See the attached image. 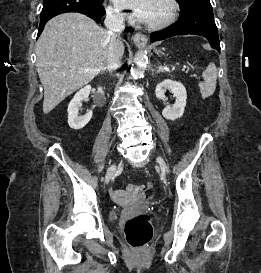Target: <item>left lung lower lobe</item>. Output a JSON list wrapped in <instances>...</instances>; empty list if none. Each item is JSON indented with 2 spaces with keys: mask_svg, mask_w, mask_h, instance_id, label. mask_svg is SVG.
I'll list each match as a JSON object with an SVG mask.
<instances>
[{
  "mask_svg": "<svg viewBox=\"0 0 261 273\" xmlns=\"http://www.w3.org/2000/svg\"><path fill=\"white\" fill-rule=\"evenodd\" d=\"M178 22L168 28L150 34V41L155 42L176 35L195 34L205 37L212 48L220 53L218 30L214 21L209 0H191L181 5Z\"/></svg>",
  "mask_w": 261,
  "mask_h": 273,
  "instance_id": "obj_1",
  "label": "left lung lower lobe"
}]
</instances>
